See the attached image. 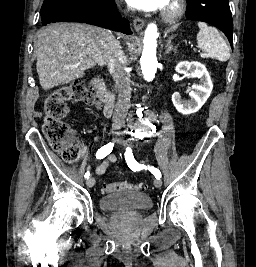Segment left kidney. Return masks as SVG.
I'll use <instances>...</instances> for the list:
<instances>
[{
    "label": "left kidney",
    "instance_id": "1",
    "mask_svg": "<svg viewBox=\"0 0 256 267\" xmlns=\"http://www.w3.org/2000/svg\"><path fill=\"white\" fill-rule=\"evenodd\" d=\"M175 70L178 74H187L189 78L200 80V84L192 86L194 92H189V102H183L179 92H174L172 96V102L180 114H194L202 108L213 90L211 78L204 64L200 62H179Z\"/></svg>",
    "mask_w": 256,
    "mask_h": 267
}]
</instances>
